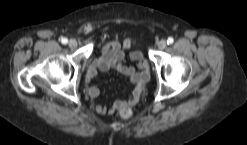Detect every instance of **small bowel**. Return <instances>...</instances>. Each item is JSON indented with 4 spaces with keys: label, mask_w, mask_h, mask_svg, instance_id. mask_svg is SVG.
<instances>
[{
    "label": "small bowel",
    "mask_w": 247,
    "mask_h": 145,
    "mask_svg": "<svg viewBox=\"0 0 247 145\" xmlns=\"http://www.w3.org/2000/svg\"><path fill=\"white\" fill-rule=\"evenodd\" d=\"M134 39H126L123 43L112 40L104 44L101 48L100 56L94 59L88 67L86 81L89 82L99 71L105 72L116 70L117 72L128 76L133 89L126 100H117L109 107L97 103L95 110L98 114L114 113L123 107H132L140 99L142 88L149 78V65L145 60L142 51L137 50L129 54L128 59L136 63V67L126 64L124 50L135 45ZM87 93L91 98H97L100 89L97 86H89Z\"/></svg>",
    "instance_id": "c3829d8e"
}]
</instances>
